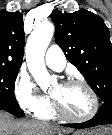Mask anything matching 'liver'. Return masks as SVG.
<instances>
[{"mask_svg": "<svg viewBox=\"0 0 112 135\" xmlns=\"http://www.w3.org/2000/svg\"><path fill=\"white\" fill-rule=\"evenodd\" d=\"M59 129L46 123L16 120L7 112L0 111V135H52ZM63 132H69L63 130Z\"/></svg>", "mask_w": 112, "mask_h": 135, "instance_id": "6515ba94", "label": "liver"}]
</instances>
